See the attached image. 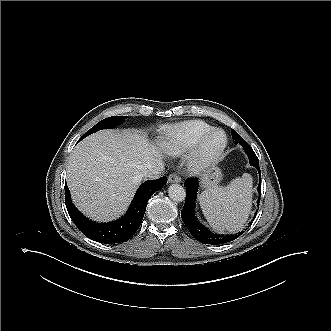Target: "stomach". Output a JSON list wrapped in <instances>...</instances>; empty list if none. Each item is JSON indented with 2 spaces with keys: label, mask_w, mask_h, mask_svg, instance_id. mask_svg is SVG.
<instances>
[{
  "label": "stomach",
  "mask_w": 331,
  "mask_h": 331,
  "mask_svg": "<svg viewBox=\"0 0 331 331\" xmlns=\"http://www.w3.org/2000/svg\"><path fill=\"white\" fill-rule=\"evenodd\" d=\"M222 179L221 171L212 167L201 174V188L208 189L217 186Z\"/></svg>",
  "instance_id": "obj_1"
}]
</instances>
